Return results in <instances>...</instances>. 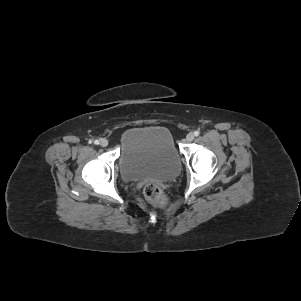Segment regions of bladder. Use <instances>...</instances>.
<instances>
[{"instance_id": "31cf9c89", "label": "bladder", "mask_w": 301, "mask_h": 301, "mask_svg": "<svg viewBox=\"0 0 301 301\" xmlns=\"http://www.w3.org/2000/svg\"><path fill=\"white\" fill-rule=\"evenodd\" d=\"M118 168L122 179L169 181L180 171L170 131L158 125L133 127L121 137Z\"/></svg>"}]
</instances>
